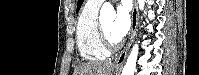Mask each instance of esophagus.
<instances>
[{
  "label": "esophagus",
  "instance_id": "34e87169",
  "mask_svg": "<svg viewBox=\"0 0 199 75\" xmlns=\"http://www.w3.org/2000/svg\"><path fill=\"white\" fill-rule=\"evenodd\" d=\"M137 22H138V9H137V3L136 0H134V6L132 10V26H131V31H130V37L128 40V43L126 47L123 49V51L116 57L114 61L115 66H122L124 64V61L126 59L127 53L130 49V46L133 42L135 33H136V28H137Z\"/></svg>",
  "mask_w": 199,
  "mask_h": 75
}]
</instances>
